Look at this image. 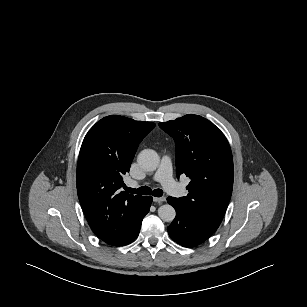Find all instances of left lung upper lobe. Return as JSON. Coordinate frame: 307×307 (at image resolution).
I'll return each mask as SVG.
<instances>
[{"label": "left lung upper lobe", "mask_w": 307, "mask_h": 307, "mask_svg": "<svg viewBox=\"0 0 307 307\" xmlns=\"http://www.w3.org/2000/svg\"><path fill=\"white\" fill-rule=\"evenodd\" d=\"M176 143V173L188 176V195L174 198L197 224L215 232L233 188V158L224 134L209 120L185 115L160 122Z\"/></svg>", "instance_id": "obj_1"}]
</instances>
